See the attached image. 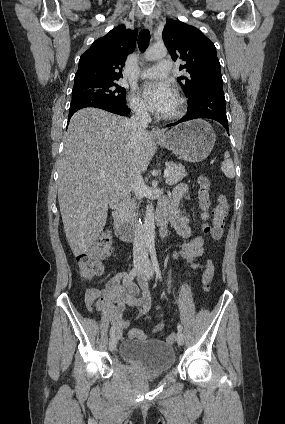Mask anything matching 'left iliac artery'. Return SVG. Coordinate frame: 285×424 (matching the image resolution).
I'll return each mask as SVG.
<instances>
[{
  "label": "left iliac artery",
  "instance_id": "obj_1",
  "mask_svg": "<svg viewBox=\"0 0 285 424\" xmlns=\"http://www.w3.org/2000/svg\"><path fill=\"white\" fill-rule=\"evenodd\" d=\"M150 256H151V260L154 266V270L156 273V276L162 281V276H161V270L159 268V264H158V260H157V256H156V251L154 248L150 249ZM177 329L179 332H182L183 327L181 324L177 325Z\"/></svg>",
  "mask_w": 285,
  "mask_h": 424
}]
</instances>
